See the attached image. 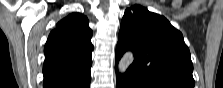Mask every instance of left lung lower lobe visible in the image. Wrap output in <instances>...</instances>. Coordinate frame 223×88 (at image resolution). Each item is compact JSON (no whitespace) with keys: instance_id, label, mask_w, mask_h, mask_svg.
I'll return each instance as SVG.
<instances>
[{"instance_id":"left-lung-lower-lobe-1","label":"left lung lower lobe","mask_w":223,"mask_h":88,"mask_svg":"<svg viewBox=\"0 0 223 88\" xmlns=\"http://www.w3.org/2000/svg\"><path fill=\"white\" fill-rule=\"evenodd\" d=\"M117 88H146V86L140 81H138L135 77L131 76L128 72H126L125 80L123 82H118Z\"/></svg>"}]
</instances>
